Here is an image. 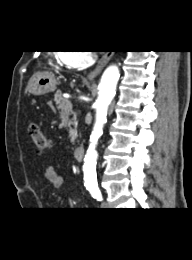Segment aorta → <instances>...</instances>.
Returning a JSON list of instances; mask_svg holds the SVG:
<instances>
[{"label": "aorta", "instance_id": "762f6f07", "mask_svg": "<svg viewBox=\"0 0 192 260\" xmlns=\"http://www.w3.org/2000/svg\"><path fill=\"white\" fill-rule=\"evenodd\" d=\"M119 68L116 65L109 66L101 77L98 86V98L96 100V118L92 134L90 136V145L84 158L83 172L86 185L96 184V163L98 153L95 150L98 139L103 134V126L106 123L107 111L112 102L116 85L119 80Z\"/></svg>", "mask_w": 192, "mask_h": 260}]
</instances>
